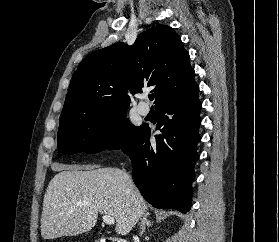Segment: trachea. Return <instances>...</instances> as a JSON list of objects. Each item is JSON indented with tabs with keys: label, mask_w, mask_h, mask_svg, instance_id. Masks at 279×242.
Wrapping results in <instances>:
<instances>
[{
	"label": "trachea",
	"mask_w": 279,
	"mask_h": 242,
	"mask_svg": "<svg viewBox=\"0 0 279 242\" xmlns=\"http://www.w3.org/2000/svg\"><path fill=\"white\" fill-rule=\"evenodd\" d=\"M149 99L152 101L154 99V95H149Z\"/></svg>",
	"instance_id": "3493384b"
}]
</instances>
